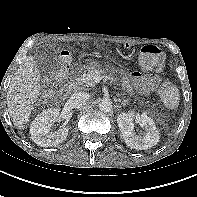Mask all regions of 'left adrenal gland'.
Returning <instances> with one entry per match:
<instances>
[{"label":"left adrenal gland","instance_id":"1","mask_svg":"<svg viewBox=\"0 0 197 197\" xmlns=\"http://www.w3.org/2000/svg\"><path fill=\"white\" fill-rule=\"evenodd\" d=\"M119 101H121V100L119 99ZM128 102H129V99L123 100L122 103H121V105L125 106Z\"/></svg>","mask_w":197,"mask_h":197}]
</instances>
